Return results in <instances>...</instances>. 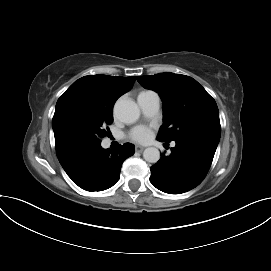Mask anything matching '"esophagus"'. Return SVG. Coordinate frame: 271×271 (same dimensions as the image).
<instances>
[{
    "label": "esophagus",
    "mask_w": 271,
    "mask_h": 271,
    "mask_svg": "<svg viewBox=\"0 0 271 271\" xmlns=\"http://www.w3.org/2000/svg\"><path fill=\"white\" fill-rule=\"evenodd\" d=\"M144 149H145V147H143V146H140V145L135 146L136 152H142Z\"/></svg>",
    "instance_id": "esophagus-1"
}]
</instances>
